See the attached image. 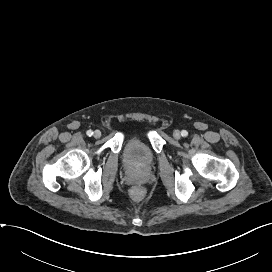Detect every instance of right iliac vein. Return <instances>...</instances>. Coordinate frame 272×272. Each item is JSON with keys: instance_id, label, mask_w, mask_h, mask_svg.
<instances>
[{"instance_id": "right-iliac-vein-1", "label": "right iliac vein", "mask_w": 272, "mask_h": 272, "mask_svg": "<svg viewBox=\"0 0 272 272\" xmlns=\"http://www.w3.org/2000/svg\"><path fill=\"white\" fill-rule=\"evenodd\" d=\"M95 138H100L101 137V132L99 130H96L93 135Z\"/></svg>"}]
</instances>
